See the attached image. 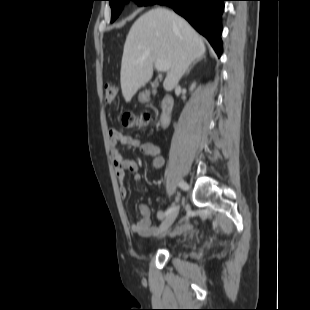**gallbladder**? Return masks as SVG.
I'll return each mask as SVG.
<instances>
[{"label":"gallbladder","instance_id":"bac80fb5","mask_svg":"<svg viewBox=\"0 0 310 310\" xmlns=\"http://www.w3.org/2000/svg\"><path fill=\"white\" fill-rule=\"evenodd\" d=\"M157 86H158V83H157V82L152 83V87H153V88H155V87H157Z\"/></svg>","mask_w":310,"mask_h":310}]
</instances>
